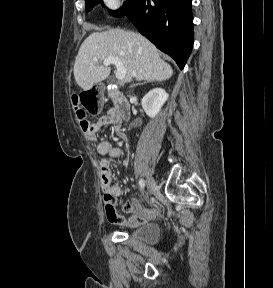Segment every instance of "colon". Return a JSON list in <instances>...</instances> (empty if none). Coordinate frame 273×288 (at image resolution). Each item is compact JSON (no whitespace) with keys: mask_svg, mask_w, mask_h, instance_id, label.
<instances>
[{"mask_svg":"<svg viewBox=\"0 0 273 288\" xmlns=\"http://www.w3.org/2000/svg\"><path fill=\"white\" fill-rule=\"evenodd\" d=\"M73 106L83 130L90 126L88 116L97 115L102 110L101 93L98 89H90L73 96Z\"/></svg>","mask_w":273,"mask_h":288,"instance_id":"5ec220e1","label":"colon"}]
</instances>
